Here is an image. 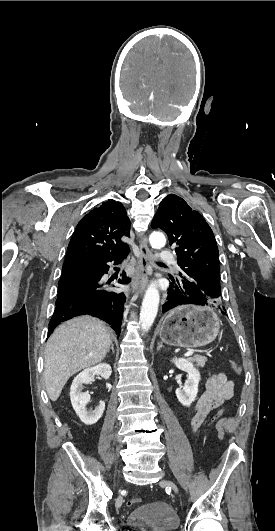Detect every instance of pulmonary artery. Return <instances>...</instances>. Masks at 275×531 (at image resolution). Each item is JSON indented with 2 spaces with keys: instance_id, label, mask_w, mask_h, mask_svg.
<instances>
[{
  "instance_id": "obj_1",
  "label": "pulmonary artery",
  "mask_w": 275,
  "mask_h": 531,
  "mask_svg": "<svg viewBox=\"0 0 275 531\" xmlns=\"http://www.w3.org/2000/svg\"><path fill=\"white\" fill-rule=\"evenodd\" d=\"M157 256L160 259H163V261H165V263L170 265L172 268H175L177 266V263L175 262L176 258L172 250L170 249L160 250L157 253Z\"/></svg>"
}]
</instances>
